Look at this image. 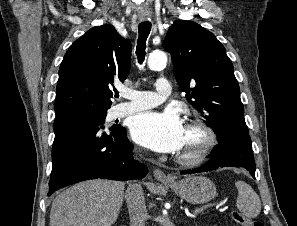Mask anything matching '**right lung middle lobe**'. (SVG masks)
Here are the masks:
<instances>
[{
  "label": "right lung middle lobe",
  "instance_id": "1",
  "mask_svg": "<svg viewBox=\"0 0 297 226\" xmlns=\"http://www.w3.org/2000/svg\"><path fill=\"white\" fill-rule=\"evenodd\" d=\"M106 114L107 110L91 111V115L93 116V118L101 124H104Z\"/></svg>",
  "mask_w": 297,
  "mask_h": 226
}]
</instances>
